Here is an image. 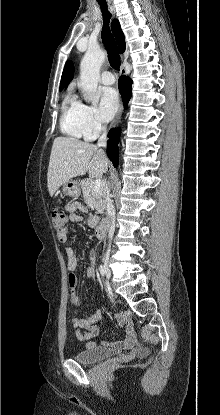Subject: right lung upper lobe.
<instances>
[{"instance_id": "right-lung-upper-lobe-1", "label": "right lung upper lobe", "mask_w": 220, "mask_h": 415, "mask_svg": "<svg viewBox=\"0 0 220 415\" xmlns=\"http://www.w3.org/2000/svg\"><path fill=\"white\" fill-rule=\"evenodd\" d=\"M111 28H112V32L116 38L117 44H118V48H119V52L123 53L126 49V44H125V38H124V34L121 30L120 24L118 20H113L112 24H111ZM74 76V65L71 61L66 62L63 73H62V78H61V82H60V90H62L63 88H65L70 81L73 79Z\"/></svg>"}]
</instances>
